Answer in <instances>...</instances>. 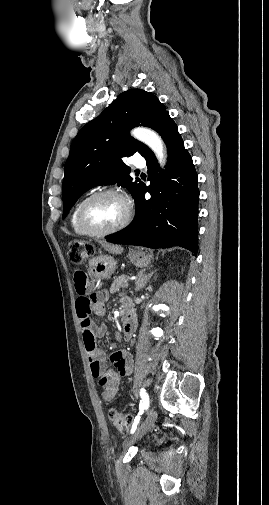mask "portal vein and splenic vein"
<instances>
[{"label": "portal vein and splenic vein", "mask_w": 269, "mask_h": 505, "mask_svg": "<svg viewBox=\"0 0 269 505\" xmlns=\"http://www.w3.org/2000/svg\"><path fill=\"white\" fill-rule=\"evenodd\" d=\"M127 286H128V282L125 283V287H127Z\"/></svg>", "instance_id": "1"}]
</instances>
